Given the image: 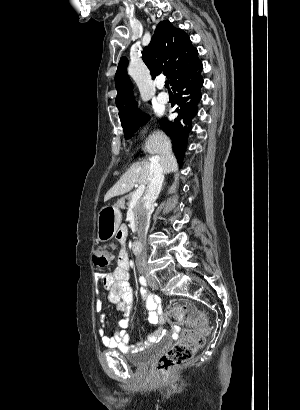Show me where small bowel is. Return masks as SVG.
Returning <instances> with one entry per match:
<instances>
[{"instance_id":"c3829d8e","label":"small bowel","mask_w":300,"mask_h":410,"mask_svg":"<svg viewBox=\"0 0 300 410\" xmlns=\"http://www.w3.org/2000/svg\"><path fill=\"white\" fill-rule=\"evenodd\" d=\"M125 240V234H120L119 241L125 242ZM129 264L128 252L121 249L114 270L100 276L103 288L108 292L109 301L115 304L122 314L116 332L111 334L107 332L102 301H97L96 310L101 314V327L98 333L102 344L108 348L134 353L142 350L147 344L160 340L165 335L166 329L163 326L167 322V317L162 311L160 298L146 289H141L140 296L148 311V321L158 325V328L144 341L135 340L130 336L127 327L133 312L134 291L130 284Z\"/></svg>"}]
</instances>
